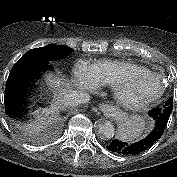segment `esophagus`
Returning a JSON list of instances; mask_svg holds the SVG:
<instances>
[{"label": "esophagus", "mask_w": 177, "mask_h": 177, "mask_svg": "<svg viewBox=\"0 0 177 177\" xmlns=\"http://www.w3.org/2000/svg\"><path fill=\"white\" fill-rule=\"evenodd\" d=\"M113 106L109 105V104H100L99 105V110L105 114H110L113 111Z\"/></svg>", "instance_id": "1"}]
</instances>
